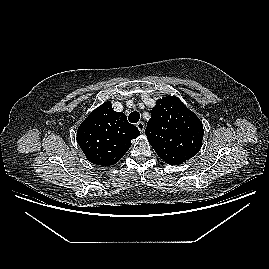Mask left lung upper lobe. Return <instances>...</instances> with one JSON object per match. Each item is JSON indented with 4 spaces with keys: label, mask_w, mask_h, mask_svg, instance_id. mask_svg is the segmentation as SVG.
I'll return each instance as SVG.
<instances>
[{
    "label": "left lung upper lobe",
    "mask_w": 269,
    "mask_h": 269,
    "mask_svg": "<svg viewBox=\"0 0 269 269\" xmlns=\"http://www.w3.org/2000/svg\"><path fill=\"white\" fill-rule=\"evenodd\" d=\"M145 134L160 158L179 165L199 152L204 130L200 119L179 98L166 96L152 109Z\"/></svg>",
    "instance_id": "5c2ea615"
}]
</instances>
